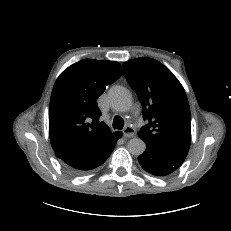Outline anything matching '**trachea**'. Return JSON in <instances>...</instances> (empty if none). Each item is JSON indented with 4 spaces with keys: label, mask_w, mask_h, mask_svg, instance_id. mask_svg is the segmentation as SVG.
Here are the masks:
<instances>
[{
    "label": "trachea",
    "mask_w": 231,
    "mask_h": 231,
    "mask_svg": "<svg viewBox=\"0 0 231 231\" xmlns=\"http://www.w3.org/2000/svg\"><path fill=\"white\" fill-rule=\"evenodd\" d=\"M124 127V121L120 116H115L113 118V128L122 129Z\"/></svg>",
    "instance_id": "3493384b"
}]
</instances>
